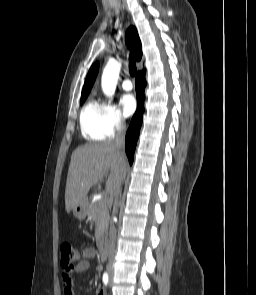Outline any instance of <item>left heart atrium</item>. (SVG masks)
I'll return each mask as SVG.
<instances>
[{
    "label": "left heart atrium",
    "mask_w": 256,
    "mask_h": 295,
    "mask_svg": "<svg viewBox=\"0 0 256 295\" xmlns=\"http://www.w3.org/2000/svg\"><path fill=\"white\" fill-rule=\"evenodd\" d=\"M120 105L125 116H130L136 109V100L133 95L125 94L120 99Z\"/></svg>",
    "instance_id": "39dd6f15"
}]
</instances>
